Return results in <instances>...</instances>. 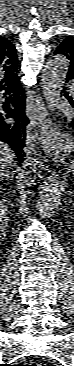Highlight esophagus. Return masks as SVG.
Segmentation results:
<instances>
[{
	"instance_id": "esophagus-1",
	"label": "esophagus",
	"mask_w": 74,
	"mask_h": 366,
	"mask_svg": "<svg viewBox=\"0 0 74 366\" xmlns=\"http://www.w3.org/2000/svg\"><path fill=\"white\" fill-rule=\"evenodd\" d=\"M26 114L34 128L35 136L41 144H47V137L50 134L48 130L47 110L44 100L40 94L35 95V99L28 97L26 103Z\"/></svg>"
}]
</instances>
